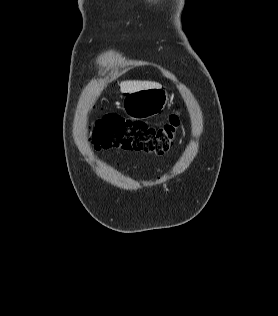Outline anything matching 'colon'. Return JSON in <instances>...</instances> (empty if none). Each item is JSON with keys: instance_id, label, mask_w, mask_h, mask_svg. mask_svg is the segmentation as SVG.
Returning a JSON list of instances; mask_svg holds the SVG:
<instances>
[{"instance_id": "1", "label": "colon", "mask_w": 278, "mask_h": 316, "mask_svg": "<svg viewBox=\"0 0 278 316\" xmlns=\"http://www.w3.org/2000/svg\"><path fill=\"white\" fill-rule=\"evenodd\" d=\"M181 120L182 114L177 110L166 125L155 128L114 113L107 114L96 123L93 144L97 150L120 148L164 155L174 143Z\"/></svg>"}]
</instances>
